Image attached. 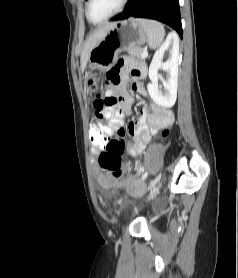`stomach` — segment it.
I'll return each instance as SVG.
<instances>
[{
    "label": "stomach",
    "instance_id": "obj_1",
    "mask_svg": "<svg viewBox=\"0 0 238 278\" xmlns=\"http://www.w3.org/2000/svg\"><path fill=\"white\" fill-rule=\"evenodd\" d=\"M147 41V32L138 19L118 21L106 35L92 48L89 61L99 71L107 70L117 55L129 47H140ZM87 92L96 93L99 89L97 75L89 73L84 78Z\"/></svg>",
    "mask_w": 238,
    "mask_h": 278
}]
</instances>
